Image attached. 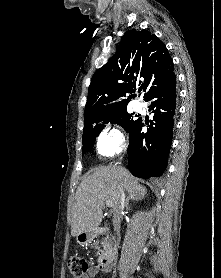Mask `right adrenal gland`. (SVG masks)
Wrapping results in <instances>:
<instances>
[{"instance_id": "obj_1", "label": "right adrenal gland", "mask_w": 221, "mask_h": 278, "mask_svg": "<svg viewBox=\"0 0 221 278\" xmlns=\"http://www.w3.org/2000/svg\"><path fill=\"white\" fill-rule=\"evenodd\" d=\"M143 198V196L141 195H129L126 199V207H128L129 201L133 200V201H138L141 200Z\"/></svg>"}]
</instances>
